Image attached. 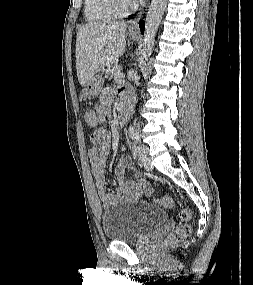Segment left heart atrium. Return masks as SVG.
I'll use <instances>...</instances> for the list:
<instances>
[{"label": "left heart atrium", "instance_id": "39dd6f15", "mask_svg": "<svg viewBox=\"0 0 253 285\" xmlns=\"http://www.w3.org/2000/svg\"><path fill=\"white\" fill-rule=\"evenodd\" d=\"M136 1H138V0H133V2H136Z\"/></svg>", "mask_w": 253, "mask_h": 285}]
</instances>
